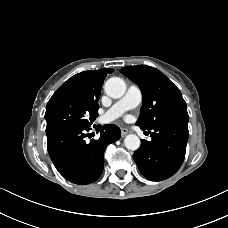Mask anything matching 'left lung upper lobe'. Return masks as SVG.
I'll use <instances>...</instances> for the list:
<instances>
[{"label":"left lung upper lobe","mask_w":228,"mask_h":228,"mask_svg":"<svg viewBox=\"0 0 228 228\" xmlns=\"http://www.w3.org/2000/svg\"><path fill=\"white\" fill-rule=\"evenodd\" d=\"M121 73L142 91L137 125L143 130L173 122H188L186 103L179 89L158 69L147 65L127 66Z\"/></svg>","instance_id":"obj_1"}]
</instances>
